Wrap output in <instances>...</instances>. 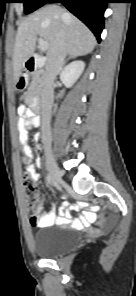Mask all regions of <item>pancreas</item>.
Segmentation results:
<instances>
[{
    "label": "pancreas",
    "instance_id": "1",
    "mask_svg": "<svg viewBox=\"0 0 136 296\" xmlns=\"http://www.w3.org/2000/svg\"><path fill=\"white\" fill-rule=\"evenodd\" d=\"M43 84V77L40 75V72L37 71L34 73L32 77V82L28 88V91L26 93V98L27 99H38L39 95L41 93V88Z\"/></svg>",
    "mask_w": 136,
    "mask_h": 296
}]
</instances>
